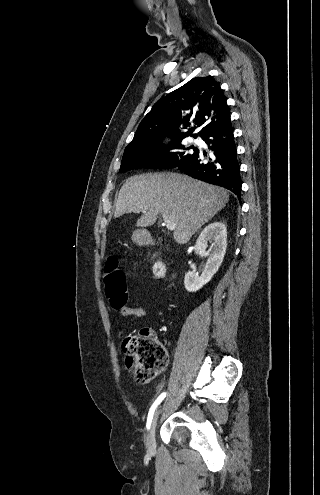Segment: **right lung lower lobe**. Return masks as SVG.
Returning <instances> with one entry per match:
<instances>
[{"label":"right lung lower lobe","mask_w":320,"mask_h":495,"mask_svg":"<svg viewBox=\"0 0 320 495\" xmlns=\"http://www.w3.org/2000/svg\"><path fill=\"white\" fill-rule=\"evenodd\" d=\"M212 155L204 163L205 152L195 150L191 157L176 167L187 175L232 191L240 200V165L230 118L202 136Z\"/></svg>","instance_id":"98d812e1"}]
</instances>
